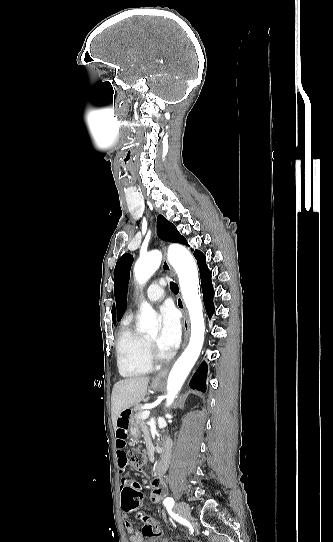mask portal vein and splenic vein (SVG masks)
I'll return each instance as SVG.
<instances>
[{
    "instance_id": "portal-vein-and-splenic-vein-1",
    "label": "portal vein and splenic vein",
    "mask_w": 333,
    "mask_h": 542,
    "mask_svg": "<svg viewBox=\"0 0 333 542\" xmlns=\"http://www.w3.org/2000/svg\"><path fill=\"white\" fill-rule=\"evenodd\" d=\"M151 412H149V410H145V412H142V416L141 418H143V420H147V418H149Z\"/></svg>"
}]
</instances>
